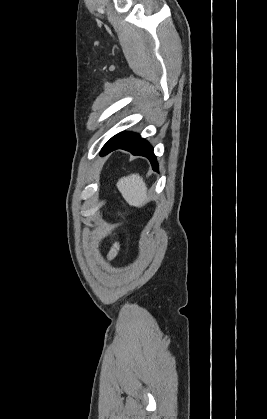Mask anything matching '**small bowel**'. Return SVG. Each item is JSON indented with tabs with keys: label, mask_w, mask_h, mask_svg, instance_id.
Instances as JSON below:
<instances>
[{
	"label": "small bowel",
	"mask_w": 267,
	"mask_h": 419,
	"mask_svg": "<svg viewBox=\"0 0 267 419\" xmlns=\"http://www.w3.org/2000/svg\"><path fill=\"white\" fill-rule=\"evenodd\" d=\"M117 252H118V246H117V245H115V246L112 248V250L110 251V253H109V257H110V258H113L114 256H116Z\"/></svg>",
	"instance_id": "obj_1"
}]
</instances>
